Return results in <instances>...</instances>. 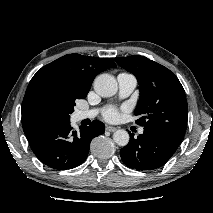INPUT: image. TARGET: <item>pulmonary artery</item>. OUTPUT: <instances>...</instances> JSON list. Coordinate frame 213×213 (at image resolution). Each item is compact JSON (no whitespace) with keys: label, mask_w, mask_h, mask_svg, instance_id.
<instances>
[{"label":"pulmonary artery","mask_w":213,"mask_h":213,"mask_svg":"<svg viewBox=\"0 0 213 213\" xmlns=\"http://www.w3.org/2000/svg\"><path fill=\"white\" fill-rule=\"evenodd\" d=\"M118 86H119V96L121 98L128 97L136 88L137 80L136 78L129 73H120L117 76ZM97 109L91 110H80L75 114L76 120H83L87 118H93L97 115ZM144 132L143 128L139 129V133L142 134Z\"/></svg>","instance_id":"e3ab8cb5"}]
</instances>
